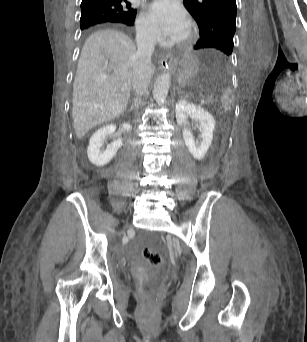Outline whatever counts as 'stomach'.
<instances>
[{
	"instance_id": "1",
	"label": "stomach",
	"mask_w": 307,
	"mask_h": 342,
	"mask_svg": "<svg viewBox=\"0 0 307 342\" xmlns=\"http://www.w3.org/2000/svg\"><path fill=\"white\" fill-rule=\"evenodd\" d=\"M171 68L177 72V81L180 87L187 88L192 84L196 73V59L192 55H185L173 60Z\"/></svg>"
}]
</instances>
